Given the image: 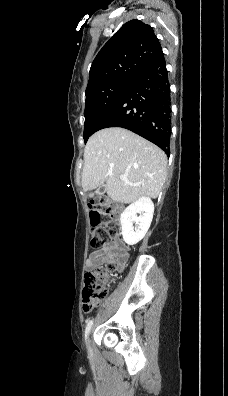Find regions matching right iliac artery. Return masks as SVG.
Returning a JSON list of instances; mask_svg holds the SVG:
<instances>
[{
  "mask_svg": "<svg viewBox=\"0 0 228 396\" xmlns=\"http://www.w3.org/2000/svg\"><path fill=\"white\" fill-rule=\"evenodd\" d=\"M92 324H93V320H90L87 323V326H86V329H85V339H87V336H88V334H89V332L91 330Z\"/></svg>",
  "mask_w": 228,
  "mask_h": 396,
  "instance_id": "82829eb1",
  "label": "right iliac artery"
}]
</instances>
